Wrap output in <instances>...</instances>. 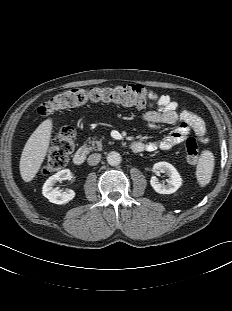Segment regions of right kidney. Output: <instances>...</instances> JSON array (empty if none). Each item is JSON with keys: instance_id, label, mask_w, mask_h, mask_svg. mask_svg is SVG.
I'll use <instances>...</instances> for the list:
<instances>
[{"instance_id": "obj_1", "label": "right kidney", "mask_w": 232, "mask_h": 311, "mask_svg": "<svg viewBox=\"0 0 232 311\" xmlns=\"http://www.w3.org/2000/svg\"><path fill=\"white\" fill-rule=\"evenodd\" d=\"M71 172L69 169H64L57 172L55 175L49 177L43 185L42 193L43 195L52 203L55 204H65L75 197V192L71 189H66L65 191L53 188L57 182L63 180L71 179Z\"/></svg>"}]
</instances>
